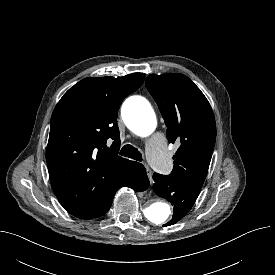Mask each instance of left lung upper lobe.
<instances>
[{
	"label": "left lung upper lobe",
	"mask_w": 275,
	"mask_h": 275,
	"mask_svg": "<svg viewBox=\"0 0 275 275\" xmlns=\"http://www.w3.org/2000/svg\"><path fill=\"white\" fill-rule=\"evenodd\" d=\"M146 86L167 126V138L177 143L171 177L202 186L216 139L212 108L190 78L182 74H151Z\"/></svg>",
	"instance_id": "1"
}]
</instances>
